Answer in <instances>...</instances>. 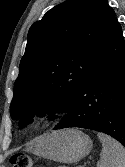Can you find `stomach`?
I'll return each instance as SVG.
<instances>
[{
  "label": "stomach",
  "mask_w": 125,
  "mask_h": 167,
  "mask_svg": "<svg viewBox=\"0 0 125 167\" xmlns=\"http://www.w3.org/2000/svg\"><path fill=\"white\" fill-rule=\"evenodd\" d=\"M92 140L77 129H64L39 137L28 151L43 158L76 163L92 150Z\"/></svg>",
  "instance_id": "obj_1"
}]
</instances>
